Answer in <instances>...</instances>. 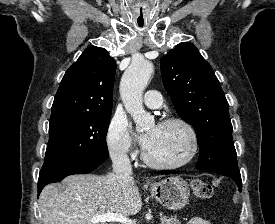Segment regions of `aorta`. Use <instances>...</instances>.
Segmentation results:
<instances>
[{
  "mask_svg": "<svg viewBox=\"0 0 275 224\" xmlns=\"http://www.w3.org/2000/svg\"><path fill=\"white\" fill-rule=\"evenodd\" d=\"M153 64L147 60L133 61L124 72L120 83V94L127 112L136 124V130L149 129L154 118L144 110L143 91L153 73Z\"/></svg>",
  "mask_w": 275,
  "mask_h": 224,
  "instance_id": "aorta-1",
  "label": "aorta"
}]
</instances>
